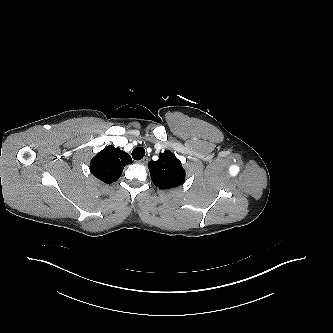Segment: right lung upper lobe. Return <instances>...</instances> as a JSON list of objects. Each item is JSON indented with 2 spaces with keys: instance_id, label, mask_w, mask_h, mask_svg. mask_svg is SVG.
Masks as SVG:
<instances>
[{
  "instance_id": "cb5924a9",
  "label": "right lung upper lobe",
  "mask_w": 333,
  "mask_h": 333,
  "mask_svg": "<svg viewBox=\"0 0 333 333\" xmlns=\"http://www.w3.org/2000/svg\"><path fill=\"white\" fill-rule=\"evenodd\" d=\"M132 163L128 153L119 148L107 146L100 151L90 163L91 173L106 184L119 179L123 168Z\"/></svg>"
}]
</instances>
